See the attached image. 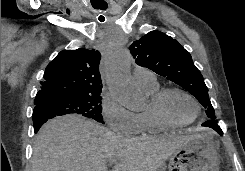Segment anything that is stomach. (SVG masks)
<instances>
[{
	"label": "stomach",
	"instance_id": "0dacf381",
	"mask_svg": "<svg viewBox=\"0 0 245 171\" xmlns=\"http://www.w3.org/2000/svg\"><path fill=\"white\" fill-rule=\"evenodd\" d=\"M193 136L169 157V171H219L218 142L214 135L203 132Z\"/></svg>",
	"mask_w": 245,
	"mask_h": 171
}]
</instances>
